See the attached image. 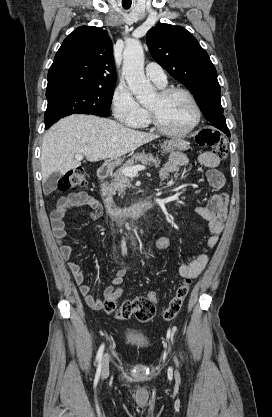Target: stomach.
<instances>
[{
    "mask_svg": "<svg viewBox=\"0 0 272 417\" xmlns=\"http://www.w3.org/2000/svg\"><path fill=\"white\" fill-rule=\"evenodd\" d=\"M189 145L188 142L182 139H170L164 141L161 148L165 153L171 152L173 150H186L188 149ZM122 162L121 158H116L112 160L113 164H120Z\"/></svg>",
    "mask_w": 272,
    "mask_h": 417,
    "instance_id": "1",
    "label": "stomach"
}]
</instances>
